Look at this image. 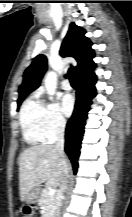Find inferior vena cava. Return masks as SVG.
<instances>
[{"instance_id":"obj_1","label":"inferior vena cava","mask_w":132,"mask_h":217,"mask_svg":"<svg viewBox=\"0 0 132 217\" xmlns=\"http://www.w3.org/2000/svg\"><path fill=\"white\" fill-rule=\"evenodd\" d=\"M64 131H65V121H61L59 123V125H58L57 139H56V143H55V148L57 149L60 156L62 157V163H63V166L65 168L64 169L65 180L62 183L61 189L59 191L60 196H59L58 203H57V215H59L60 211H61V206H62L61 195H62L63 190L65 189V185H66V182H67L66 178L68 177V168H67V165H66V161L64 159V142H65V140H64Z\"/></svg>"}]
</instances>
